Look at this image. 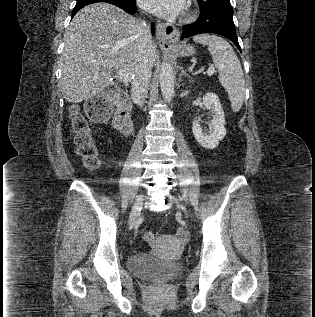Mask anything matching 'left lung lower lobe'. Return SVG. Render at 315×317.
<instances>
[{
	"label": "left lung lower lobe",
	"instance_id": "left-lung-lower-lobe-1",
	"mask_svg": "<svg viewBox=\"0 0 315 317\" xmlns=\"http://www.w3.org/2000/svg\"><path fill=\"white\" fill-rule=\"evenodd\" d=\"M232 15L226 13L213 15L201 11L196 22L182 27L181 40L200 33H215L230 39L241 51Z\"/></svg>",
	"mask_w": 315,
	"mask_h": 317
}]
</instances>
